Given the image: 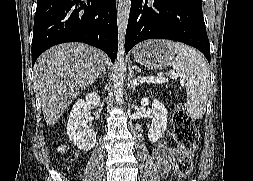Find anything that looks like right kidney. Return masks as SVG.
Masks as SVG:
<instances>
[{
    "instance_id": "obj_1",
    "label": "right kidney",
    "mask_w": 253,
    "mask_h": 181,
    "mask_svg": "<svg viewBox=\"0 0 253 181\" xmlns=\"http://www.w3.org/2000/svg\"><path fill=\"white\" fill-rule=\"evenodd\" d=\"M89 105L99 106L100 96L96 92L89 93L73 105L67 121V135L79 150H91L96 144V133L84 120Z\"/></svg>"
}]
</instances>
